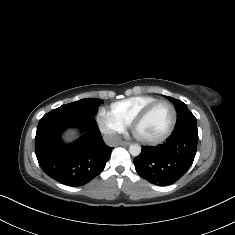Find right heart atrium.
<instances>
[{
  "label": "right heart atrium",
  "mask_w": 235,
  "mask_h": 235,
  "mask_svg": "<svg viewBox=\"0 0 235 235\" xmlns=\"http://www.w3.org/2000/svg\"><path fill=\"white\" fill-rule=\"evenodd\" d=\"M96 122L114 141H118L119 136L125 131V126L103 106L99 107L96 113Z\"/></svg>",
  "instance_id": "1"
}]
</instances>
